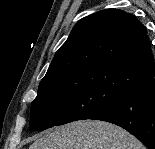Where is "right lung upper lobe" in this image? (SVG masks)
<instances>
[{"mask_svg":"<svg viewBox=\"0 0 155 149\" xmlns=\"http://www.w3.org/2000/svg\"><path fill=\"white\" fill-rule=\"evenodd\" d=\"M107 67L155 77L146 29L135 16L119 9L102 10L77 22L42 81Z\"/></svg>","mask_w":155,"mask_h":149,"instance_id":"cb5924a9","label":"right lung upper lobe"}]
</instances>
